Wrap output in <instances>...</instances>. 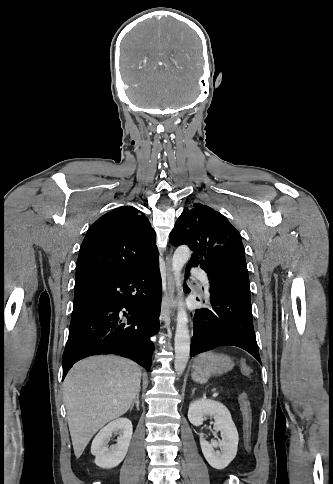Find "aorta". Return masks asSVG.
Returning <instances> with one entry per match:
<instances>
[{"label":"aorta","instance_id":"obj_1","mask_svg":"<svg viewBox=\"0 0 333 484\" xmlns=\"http://www.w3.org/2000/svg\"><path fill=\"white\" fill-rule=\"evenodd\" d=\"M190 249L187 245L179 246L173 255L172 259V271L175 277L176 286L178 287L179 296V307L177 313V326L174 338V348H175V371L178 375H181L187 365L189 355H190V335L187 326L188 318L187 313L183 308V301L181 299L183 289L180 281L181 270L183 266L187 263L190 257Z\"/></svg>","mask_w":333,"mask_h":484}]
</instances>
